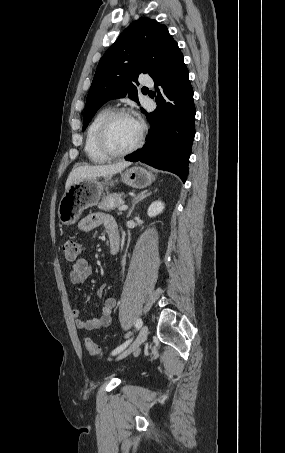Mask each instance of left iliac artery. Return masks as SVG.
Segmentation results:
<instances>
[{
	"mask_svg": "<svg viewBox=\"0 0 285 453\" xmlns=\"http://www.w3.org/2000/svg\"><path fill=\"white\" fill-rule=\"evenodd\" d=\"M142 324H143L142 320L141 319H137L135 326H136L137 329H139V328H141ZM130 342H131V339L127 340L122 345H120L119 347L114 349L111 354L112 355H116V354L120 353L121 351H123L129 345Z\"/></svg>",
	"mask_w": 285,
	"mask_h": 453,
	"instance_id": "left-iliac-artery-1",
	"label": "left iliac artery"
}]
</instances>
